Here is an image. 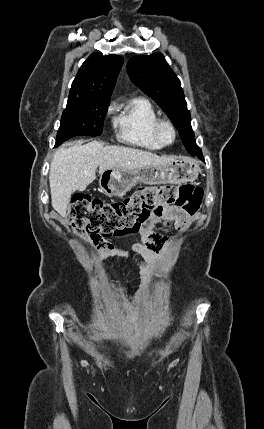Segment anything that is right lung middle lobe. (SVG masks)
<instances>
[{"label": "right lung middle lobe", "mask_w": 264, "mask_h": 429, "mask_svg": "<svg viewBox=\"0 0 264 429\" xmlns=\"http://www.w3.org/2000/svg\"><path fill=\"white\" fill-rule=\"evenodd\" d=\"M109 106L108 99L68 98L55 146L78 135L99 136Z\"/></svg>", "instance_id": "dd1d6c3e"}]
</instances>
